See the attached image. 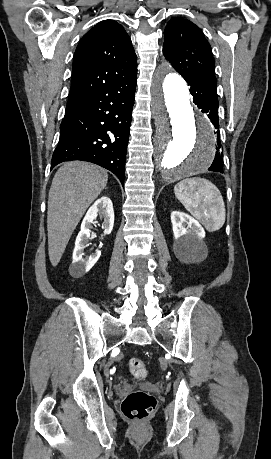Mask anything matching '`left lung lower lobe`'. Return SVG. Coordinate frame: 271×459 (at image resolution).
I'll return each mask as SVG.
<instances>
[{
  "label": "left lung lower lobe",
  "instance_id": "obj_1",
  "mask_svg": "<svg viewBox=\"0 0 271 459\" xmlns=\"http://www.w3.org/2000/svg\"><path fill=\"white\" fill-rule=\"evenodd\" d=\"M188 85L191 86L190 92L193 95V102L198 108L206 113L215 127L217 138L216 155L209 171L223 173V148L220 141L219 118H218V98H217V80L213 77L201 79L184 78Z\"/></svg>",
  "mask_w": 271,
  "mask_h": 459
}]
</instances>
